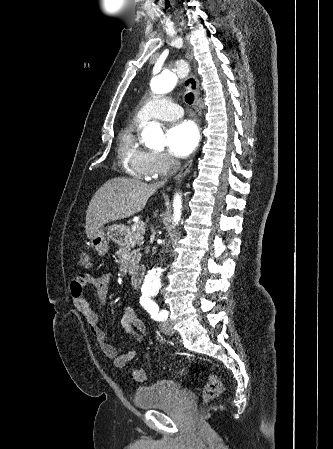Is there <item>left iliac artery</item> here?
Returning <instances> with one entry per match:
<instances>
[{"mask_svg":"<svg viewBox=\"0 0 333 449\" xmlns=\"http://www.w3.org/2000/svg\"><path fill=\"white\" fill-rule=\"evenodd\" d=\"M144 308L150 313L151 318L157 321H164L168 317V312L166 310H162L159 312L158 305L146 298L145 303L143 304Z\"/></svg>","mask_w":333,"mask_h":449,"instance_id":"left-iliac-artery-1","label":"left iliac artery"}]
</instances>
